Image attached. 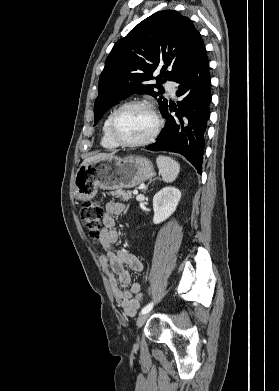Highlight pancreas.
Masks as SVG:
<instances>
[{
  "label": "pancreas",
  "mask_w": 279,
  "mask_h": 391,
  "mask_svg": "<svg viewBox=\"0 0 279 391\" xmlns=\"http://www.w3.org/2000/svg\"><path fill=\"white\" fill-rule=\"evenodd\" d=\"M111 196H114L116 198H120L122 201H128L129 199L132 198V192L131 191H122V190H117V191H112L108 193Z\"/></svg>",
  "instance_id": "1"
}]
</instances>
